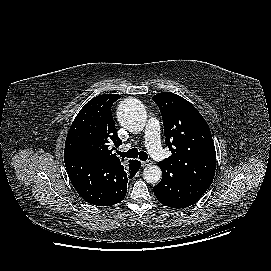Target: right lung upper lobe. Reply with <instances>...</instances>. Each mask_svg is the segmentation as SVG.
<instances>
[{
    "mask_svg": "<svg viewBox=\"0 0 271 271\" xmlns=\"http://www.w3.org/2000/svg\"><path fill=\"white\" fill-rule=\"evenodd\" d=\"M120 97L118 94H103L84 105L69 129L64 158L82 155L109 165L123 166L113 152L122 141L117 135L110 112L112 104ZM135 162L129 160L128 166Z\"/></svg>",
    "mask_w": 271,
    "mask_h": 271,
    "instance_id": "right-lung-upper-lobe-1",
    "label": "right lung upper lobe"
}]
</instances>
